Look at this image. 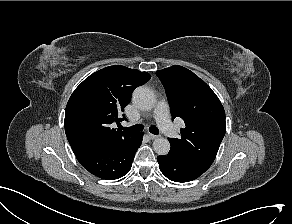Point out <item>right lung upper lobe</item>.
Masks as SVG:
<instances>
[{"label": "right lung upper lobe", "mask_w": 292, "mask_h": 224, "mask_svg": "<svg viewBox=\"0 0 292 224\" xmlns=\"http://www.w3.org/2000/svg\"><path fill=\"white\" fill-rule=\"evenodd\" d=\"M150 78L147 72L120 65L106 67L86 78L71 95L65 110L64 126L70 145L126 142L134 138L137 133L111 128V124L124 120L120 115L132 92Z\"/></svg>", "instance_id": "1"}]
</instances>
